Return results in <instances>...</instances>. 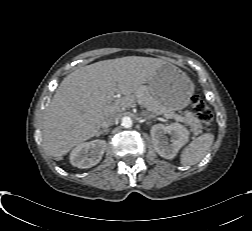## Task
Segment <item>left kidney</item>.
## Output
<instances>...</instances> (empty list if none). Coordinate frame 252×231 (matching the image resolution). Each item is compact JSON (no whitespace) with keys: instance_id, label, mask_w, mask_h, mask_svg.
Instances as JSON below:
<instances>
[{"instance_id":"1","label":"left kidney","mask_w":252,"mask_h":231,"mask_svg":"<svg viewBox=\"0 0 252 231\" xmlns=\"http://www.w3.org/2000/svg\"><path fill=\"white\" fill-rule=\"evenodd\" d=\"M150 133L154 149L166 159H173L189 139V131L178 123H172L168 126L164 124L153 125ZM166 134L171 135L170 141Z\"/></svg>"}]
</instances>
